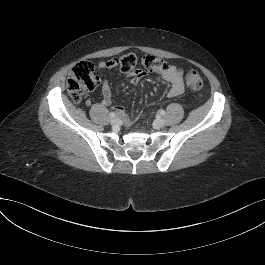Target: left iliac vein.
Listing matches in <instances>:
<instances>
[{
	"instance_id": "1",
	"label": "left iliac vein",
	"mask_w": 265,
	"mask_h": 265,
	"mask_svg": "<svg viewBox=\"0 0 265 265\" xmlns=\"http://www.w3.org/2000/svg\"><path fill=\"white\" fill-rule=\"evenodd\" d=\"M155 125L157 126V127H164V125H165V121H164V119H162V118H157L156 120H155Z\"/></svg>"
}]
</instances>
